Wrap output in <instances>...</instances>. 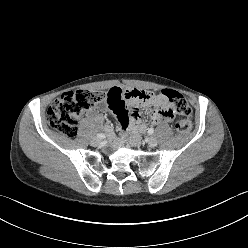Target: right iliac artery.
Here are the masks:
<instances>
[{"label": "right iliac artery", "instance_id": "obj_1", "mask_svg": "<svg viewBox=\"0 0 248 248\" xmlns=\"http://www.w3.org/2000/svg\"><path fill=\"white\" fill-rule=\"evenodd\" d=\"M97 137L100 138V139H104L105 135L101 133V134H97Z\"/></svg>", "mask_w": 248, "mask_h": 248}]
</instances>
